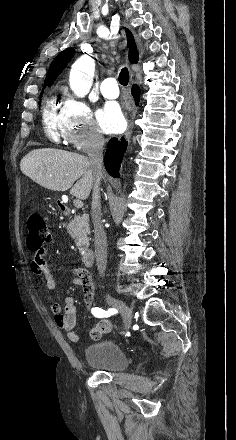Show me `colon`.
<instances>
[{
  "instance_id": "colon-1",
  "label": "colon",
  "mask_w": 236,
  "mask_h": 440,
  "mask_svg": "<svg viewBox=\"0 0 236 440\" xmlns=\"http://www.w3.org/2000/svg\"><path fill=\"white\" fill-rule=\"evenodd\" d=\"M26 226L27 245L31 250H39L51 240V229L39 213H30L27 216Z\"/></svg>"
}]
</instances>
